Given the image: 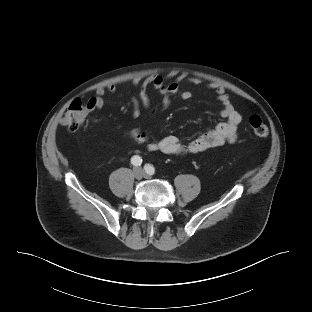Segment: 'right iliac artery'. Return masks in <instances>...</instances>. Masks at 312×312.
<instances>
[{
    "label": "right iliac artery",
    "instance_id": "1",
    "mask_svg": "<svg viewBox=\"0 0 312 312\" xmlns=\"http://www.w3.org/2000/svg\"><path fill=\"white\" fill-rule=\"evenodd\" d=\"M131 163L134 166H140L142 164V158L138 155H135L131 158Z\"/></svg>",
    "mask_w": 312,
    "mask_h": 312
}]
</instances>
